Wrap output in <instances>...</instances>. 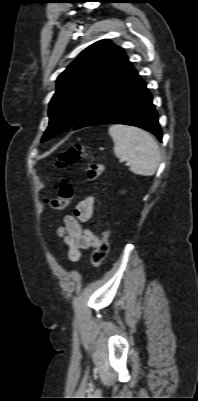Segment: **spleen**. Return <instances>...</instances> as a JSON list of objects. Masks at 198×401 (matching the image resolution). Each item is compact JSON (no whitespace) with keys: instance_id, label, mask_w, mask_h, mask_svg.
Segmentation results:
<instances>
[{"instance_id":"spleen-1","label":"spleen","mask_w":198,"mask_h":401,"mask_svg":"<svg viewBox=\"0 0 198 401\" xmlns=\"http://www.w3.org/2000/svg\"><path fill=\"white\" fill-rule=\"evenodd\" d=\"M109 135L116 157L126 160L131 172L141 176L155 174L161 154L158 143L149 133L136 127L112 125Z\"/></svg>"}]
</instances>
